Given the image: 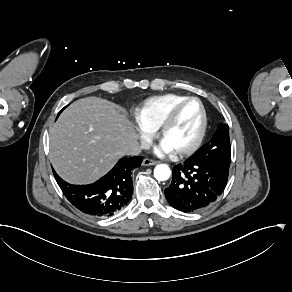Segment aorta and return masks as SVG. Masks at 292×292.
<instances>
[{"mask_svg":"<svg viewBox=\"0 0 292 292\" xmlns=\"http://www.w3.org/2000/svg\"><path fill=\"white\" fill-rule=\"evenodd\" d=\"M171 175V170L166 164H159L154 169V177L158 181H165Z\"/></svg>","mask_w":292,"mask_h":292,"instance_id":"762f6f07","label":"aorta"}]
</instances>
